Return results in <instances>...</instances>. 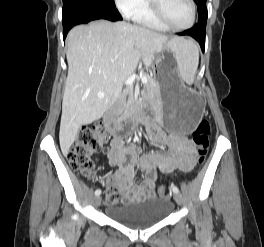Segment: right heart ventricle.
<instances>
[{"mask_svg":"<svg viewBox=\"0 0 264 247\" xmlns=\"http://www.w3.org/2000/svg\"><path fill=\"white\" fill-rule=\"evenodd\" d=\"M132 19L136 23L141 24L151 29H155L159 31L168 30L154 18V16L152 15L150 11L148 0H145L143 5L132 14Z\"/></svg>","mask_w":264,"mask_h":247,"instance_id":"e07e8e85","label":"right heart ventricle"}]
</instances>
